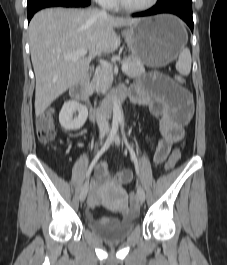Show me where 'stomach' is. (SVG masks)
I'll use <instances>...</instances> for the list:
<instances>
[{"instance_id":"0dacf381","label":"stomach","mask_w":227,"mask_h":265,"mask_svg":"<svg viewBox=\"0 0 227 265\" xmlns=\"http://www.w3.org/2000/svg\"><path fill=\"white\" fill-rule=\"evenodd\" d=\"M123 35L133 56L151 67L169 64L187 42L183 23L170 14L141 19Z\"/></svg>"}]
</instances>
